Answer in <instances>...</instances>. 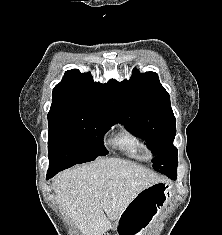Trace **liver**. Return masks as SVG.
<instances>
[{"mask_svg":"<svg viewBox=\"0 0 222 235\" xmlns=\"http://www.w3.org/2000/svg\"><path fill=\"white\" fill-rule=\"evenodd\" d=\"M164 182L156 173L120 158H101L59 173L56 201L82 235H103L145 188Z\"/></svg>","mask_w":222,"mask_h":235,"instance_id":"obj_1","label":"liver"}]
</instances>
